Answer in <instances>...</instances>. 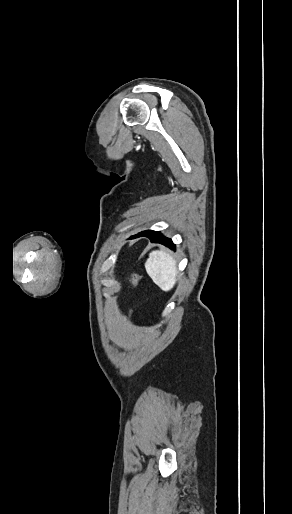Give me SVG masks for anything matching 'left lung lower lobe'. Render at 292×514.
Returning <instances> with one entry per match:
<instances>
[{
	"label": "left lung lower lobe",
	"instance_id": "1",
	"mask_svg": "<svg viewBox=\"0 0 292 514\" xmlns=\"http://www.w3.org/2000/svg\"><path fill=\"white\" fill-rule=\"evenodd\" d=\"M142 236L148 237L153 243L163 244L169 247L170 249L175 248V244L172 242V240L170 238L163 236L159 231L146 230L138 233L137 235L132 236L131 238H137Z\"/></svg>",
	"mask_w": 292,
	"mask_h": 514
}]
</instances>
